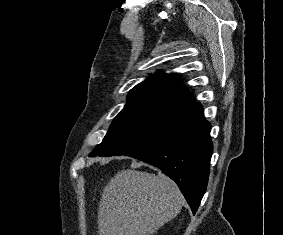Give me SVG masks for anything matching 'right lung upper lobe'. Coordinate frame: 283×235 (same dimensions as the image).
Wrapping results in <instances>:
<instances>
[{
  "mask_svg": "<svg viewBox=\"0 0 283 235\" xmlns=\"http://www.w3.org/2000/svg\"><path fill=\"white\" fill-rule=\"evenodd\" d=\"M128 101H165L190 105L194 98L176 77L158 75L136 85L129 92Z\"/></svg>",
  "mask_w": 283,
  "mask_h": 235,
  "instance_id": "obj_1",
  "label": "right lung upper lobe"
}]
</instances>
